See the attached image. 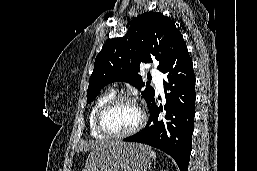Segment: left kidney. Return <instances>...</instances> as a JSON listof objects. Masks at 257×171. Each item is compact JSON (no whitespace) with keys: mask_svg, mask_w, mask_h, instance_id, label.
Returning a JSON list of instances; mask_svg holds the SVG:
<instances>
[{"mask_svg":"<svg viewBox=\"0 0 257 171\" xmlns=\"http://www.w3.org/2000/svg\"><path fill=\"white\" fill-rule=\"evenodd\" d=\"M161 171H169V170H161Z\"/></svg>","mask_w":257,"mask_h":171,"instance_id":"left-kidney-1","label":"left kidney"}]
</instances>
